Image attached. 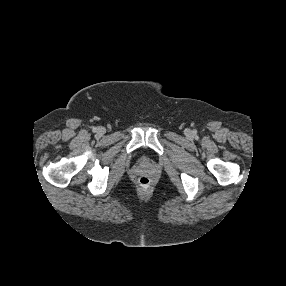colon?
Masks as SVG:
<instances>
[{
	"instance_id": "1",
	"label": "colon",
	"mask_w": 286,
	"mask_h": 286,
	"mask_svg": "<svg viewBox=\"0 0 286 286\" xmlns=\"http://www.w3.org/2000/svg\"><path fill=\"white\" fill-rule=\"evenodd\" d=\"M139 184H140L141 187L146 188V187L150 186L151 179L149 177H147V176H142V177L139 178Z\"/></svg>"
}]
</instances>
